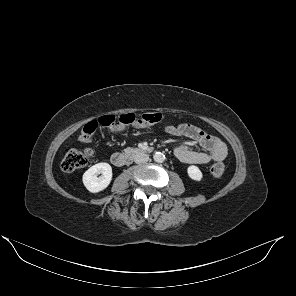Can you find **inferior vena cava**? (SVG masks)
Returning <instances> with one entry per match:
<instances>
[{
	"instance_id": "602c4592",
	"label": "inferior vena cava",
	"mask_w": 296,
	"mask_h": 296,
	"mask_svg": "<svg viewBox=\"0 0 296 296\" xmlns=\"http://www.w3.org/2000/svg\"><path fill=\"white\" fill-rule=\"evenodd\" d=\"M134 161L137 164L146 163L149 161V156L145 153H138L134 157Z\"/></svg>"
}]
</instances>
